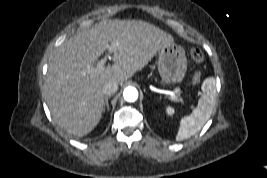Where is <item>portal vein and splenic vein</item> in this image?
<instances>
[{
    "instance_id": "obj_1",
    "label": "portal vein and splenic vein",
    "mask_w": 267,
    "mask_h": 178,
    "mask_svg": "<svg viewBox=\"0 0 267 178\" xmlns=\"http://www.w3.org/2000/svg\"><path fill=\"white\" fill-rule=\"evenodd\" d=\"M117 43H113L112 45L108 46V50H109V53L112 52L116 47H117ZM109 55L107 54L103 59H101L98 64H97V67L96 68H91L89 67L88 68V73H93L94 71H100V70H103L104 69V65L108 59ZM178 91H170V96L171 98L174 100L176 94H177Z\"/></svg>"
}]
</instances>
